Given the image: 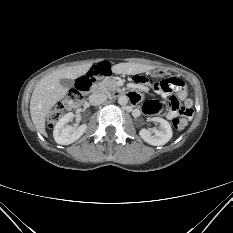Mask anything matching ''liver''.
Returning <instances> with one entry per match:
<instances>
[{"label": "liver", "instance_id": "liver-1", "mask_svg": "<svg viewBox=\"0 0 233 233\" xmlns=\"http://www.w3.org/2000/svg\"><path fill=\"white\" fill-rule=\"evenodd\" d=\"M92 64H82L56 70L43 77L35 86L30 100V114L36 129L47 136L45 131V119L51 108L67 94V88L63 87L60 80L63 78L76 79L91 68ZM153 67L138 63H119L112 66L115 74L134 75L152 70Z\"/></svg>", "mask_w": 233, "mask_h": 233}]
</instances>
